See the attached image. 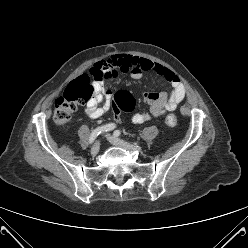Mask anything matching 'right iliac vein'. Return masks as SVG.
<instances>
[{
	"label": "right iliac vein",
	"instance_id": "obj_1",
	"mask_svg": "<svg viewBox=\"0 0 248 248\" xmlns=\"http://www.w3.org/2000/svg\"><path fill=\"white\" fill-rule=\"evenodd\" d=\"M100 149V141H97L91 148V155L96 156Z\"/></svg>",
	"mask_w": 248,
	"mask_h": 248
}]
</instances>
